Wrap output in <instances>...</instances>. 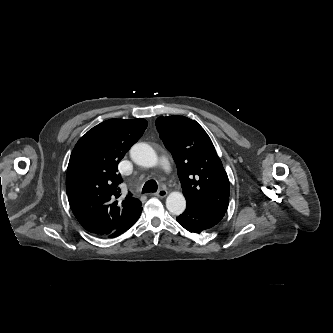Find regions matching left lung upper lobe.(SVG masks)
I'll return each mask as SVG.
<instances>
[{
  "label": "left lung upper lobe",
  "instance_id": "1",
  "mask_svg": "<svg viewBox=\"0 0 333 333\" xmlns=\"http://www.w3.org/2000/svg\"><path fill=\"white\" fill-rule=\"evenodd\" d=\"M156 128L175 160L187 202L224 213L229 203V180L204 129L185 116L159 117Z\"/></svg>",
  "mask_w": 333,
  "mask_h": 333
}]
</instances>
